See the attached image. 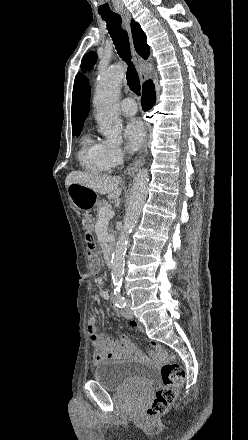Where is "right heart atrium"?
Here are the masks:
<instances>
[{
  "instance_id": "obj_1",
  "label": "right heart atrium",
  "mask_w": 248,
  "mask_h": 440,
  "mask_svg": "<svg viewBox=\"0 0 248 440\" xmlns=\"http://www.w3.org/2000/svg\"><path fill=\"white\" fill-rule=\"evenodd\" d=\"M125 158V150L119 146L105 145V159L112 168L120 166Z\"/></svg>"
}]
</instances>
